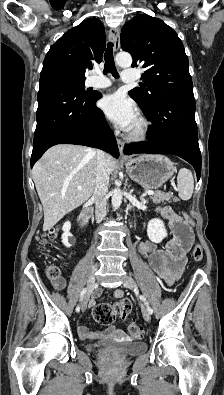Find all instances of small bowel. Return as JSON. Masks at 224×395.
Wrapping results in <instances>:
<instances>
[{"label":"small bowel","mask_w":224,"mask_h":395,"mask_svg":"<svg viewBox=\"0 0 224 395\" xmlns=\"http://www.w3.org/2000/svg\"><path fill=\"white\" fill-rule=\"evenodd\" d=\"M160 214L168 220L170 228L174 231V236L165 244L163 249L157 247L153 242H142L139 246V252L147 259L152 270L160 276L168 285H172L182 274L186 264V253L190 249L192 236L190 231L183 233L179 227L184 225V220L175 215L169 207L159 209ZM64 278H59L52 282L56 290L65 288ZM99 291L96 292L98 294ZM122 296V292L117 290L114 297ZM93 302V301H92ZM78 333L82 338H92L94 334L82 324H79Z\"/></svg>","instance_id":"c3829d8e"}]
</instances>
